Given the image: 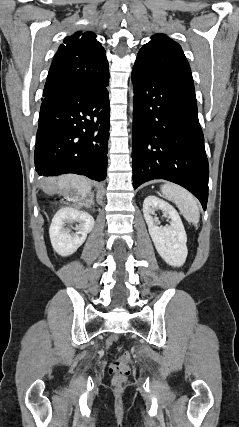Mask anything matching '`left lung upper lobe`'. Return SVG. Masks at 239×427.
I'll use <instances>...</instances> for the list:
<instances>
[{"label":"left lung upper lobe","mask_w":239,"mask_h":427,"mask_svg":"<svg viewBox=\"0 0 239 427\" xmlns=\"http://www.w3.org/2000/svg\"><path fill=\"white\" fill-rule=\"evenodd\" d=\"M135 65L194 88L190 66L181 47L165 34L152 36L140 49Z\"/></svg>","instance_id":"5c2ea615"}]
</instances>
